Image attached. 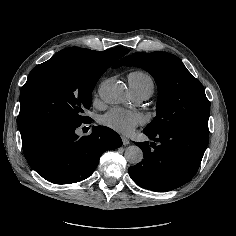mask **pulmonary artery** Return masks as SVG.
Listing matches in <instances>:
<instances>
[{
	"mask_svg": "<svg viewBox=\"0 0 236 236\" xmlns=\"http://www.w3.org/2000/svg\"><path fill=\"white\" fill-rule=\"evenodd\" d=\"M133 98H134L135 102L139 103V102L146 100L148 97L145 94L135 92V93H133Z\"/></svg>",
	"mask_w": 236,
	"mask_h": 236,
	"instance_id": "e3ab8cb5",
	"label": "pulmonary artery"
}]
</instances>
